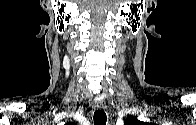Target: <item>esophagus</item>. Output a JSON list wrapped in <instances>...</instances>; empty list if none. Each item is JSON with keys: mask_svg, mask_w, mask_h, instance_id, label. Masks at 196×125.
Wrapping results in <instances>:
<instances>
[{"mask_svg": "<svg viewBox=\"0 0 196 125\" xmlns=\"http://www.w3.org/2000/svg\"><path fill=\"white\" fill-rule=\"evenodd\" d=\"M94 107L101 110L105 106H104V103L102 101L95 99L94 100Z\"/></svg>", "mask_w": 196, "mask_h": 125, "instance_id": "obj_1", "label": "esophagus"}]
</instances>
